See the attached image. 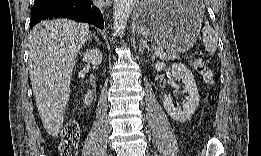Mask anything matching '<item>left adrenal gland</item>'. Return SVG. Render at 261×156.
<instances>
[{"instance_id":"a2214340","label":"left adrenal gland","mask_w":261,"mask_h":156,"mask_svg":"<svg viewBox=\"0 0 261 156\" xmlns=\"http://www.w3.org/2000/svg\"><path fill=\"white\" fill-rule=\"evenodd\" d=\"M147 50L148 52H150V48L147 45V41H145L143 38L140 39V45H139V51H144Z\"/></svg>"}]
</instances>
